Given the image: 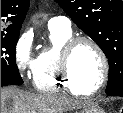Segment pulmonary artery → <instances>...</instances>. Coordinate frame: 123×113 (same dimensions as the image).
Here are the masks:
<instances>
[{
  "label": "pulmonary artery",
  "mask_w": 123,
  "mask_h": 113,
  "mask_svg": "<svg viewBox=\"0 0 123 113\" xmlns=\"http://www.w3.org/2000/svg\"><path fill=\"white\" fill-rule=\"evenodd\" d=\"M49 29L71 30V21L65 16L53 17L48 22Z\"/></svg>",
  "instance_id": "e3ab8cb5"
}]
</instances>
